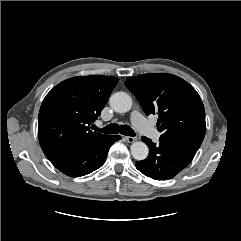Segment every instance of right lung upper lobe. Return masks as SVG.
Here are the masks:
<instances>
[{
	"mask_svg": "<svg viewBox=\"0 0 241 241\" xmlns=\"http://www.w3.org/2000/svg\"><path fill=\"white\" fill-rule=\"evenodd\" d=\"M118 81L112 76H78L59 83L46 95L39 111L38 138L47 158L106 136L92 132L90 124Z\"/></svg>",
	"mask_w": 241,
	"mask_h": 241,
	"instance_id": "cb5924a9",
	"label": "right lung upper lobe"
}]
</instances>
